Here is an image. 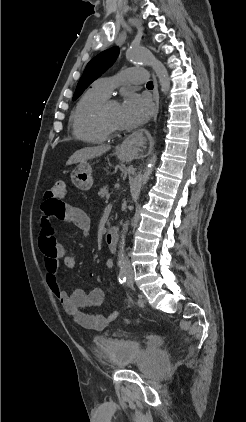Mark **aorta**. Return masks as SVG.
Wrapping results in <instances>:
<instances>
[{
  "label": "aorta",
  "mask_w": 246,
  "mask_h": 422,
  "mask_svg": "<svg viewBox=\"0 0 246 422\" xmlns=\"http://www.w3.org/2000/svg\"><path fill=\"white\" fill-rule=\"evenodd\" d=\"M126 56H127V59L132 63H142V64H147L151 66L158 77V80L161 86V91L164 94H167L169 92L170 79H169L168 71L165 68V66L161 63V61L156 59V57H154L153 54L149 50L141 46L130 47L126 52ZM156 161H157V158L155 156L151 157L143 173L138 174L137 183H136V193H139L143 189V187L147 184L153 172V169L155 167ZM128 226H129V221L127 220L123 224L122 232H121L122 243L120 246L121 249L118 254L119 264H122L124 261V239L128 231Z\"/></svg>",
  "instance_id": "obj_1"
}]
</instances>
